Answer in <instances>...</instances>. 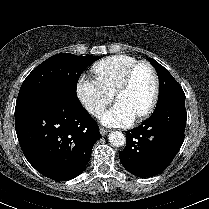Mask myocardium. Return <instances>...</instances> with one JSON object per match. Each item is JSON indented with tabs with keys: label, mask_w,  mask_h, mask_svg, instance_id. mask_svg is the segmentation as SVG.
I'll use <instances>...</instances> for the list:
<instances>
[{
	"label": "myocardium",
	"mask_w": 209,
	"mask_h": 209,
	"mask_svg": "<svg viewBox=\"0 0 209 209\" xmlns=\"http://www.w3.org/2000/svg\"><path fill=\"white\" fill-rule=\"evenodd\" d=\"M141 68H147L150 71L153 77V81H154V88H153V94H152L150 102L148 103L147 107L136 116L137 120H142L146 118L147 116H149L157 104V101L159 98V92H160V80H159V76L155 68L148 62H138L126 72V74L124 75L122 80L119 82L118 86L116 87L114 91V96L117 99L118 94L122 92L123 90H125L131 84L134 75Z\"/></svg>",
	"instance_id": "f54148a6"
}]
</instances>
